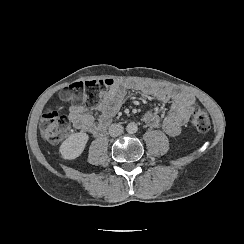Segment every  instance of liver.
I'll use <instances>...</instances> for the list:
<instances>
[{
  "mask_svg": "<svg viewBox=\"0 0 244 244\" xmlns=\"http://www.w3.org/2000/svg\"><path fill=\"white\" fill-rule=\"evenodd\" d=\"M53 112V105L49 104L44 111V118H48L49 114Z\"/></svg>",
  "mask_w": 244,
  "mask_h": 244,
  "instance_id": "obj_1",
  "label": "liver"
}]
</instances>
